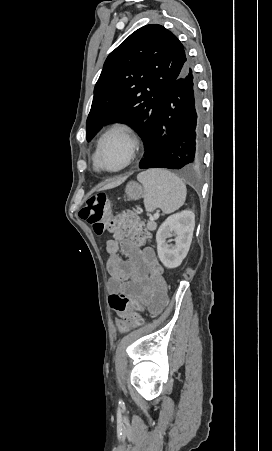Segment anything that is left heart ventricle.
Masks as SVG:
<instances>
[{"instance_id": "1", "label": "left heart ventricle", "mask_w": 272, "mask_h": 451, "mask_svg": "<svg viewBox=\"0 0 272 451\" xmlns=\"http://www.w3.org/2000/svg\"><path fill=\"white\" fill-rule=\"evenodd\" d=\"M128 157L124 142L117 136L110 137L103 145L99 163L107 170L114 171L120 169Z\"/></svg>"}]
</instances>
